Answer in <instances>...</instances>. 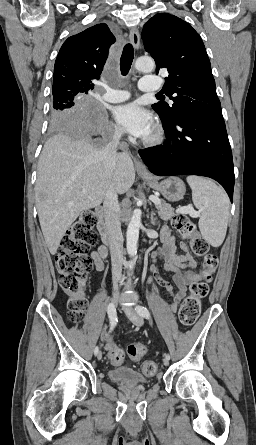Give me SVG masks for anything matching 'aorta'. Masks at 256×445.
I'll use <instances>...</instances> for the list:
<instances>
[{
  "label": "aorta",
  "mask_w": 256,
  "mask_h": 445,
  "mask_svg": "<svg viewBox=\"0 0 256 445\" xmlns=\"http://www.w3.org/2000/svg\"><path fill=\"white\" fill-rule=\"evenodd\" d=\"M155 67V62L150 57H140L135 62V68L141 72H151ZM141 226V211L137 210L133 213L127 228L126 247L130 258L137 253V243L139 238V229ZM129 268H133L132 263Z\"/></svg>",
  "instance_id": "obj_1"
}]
</instances>
